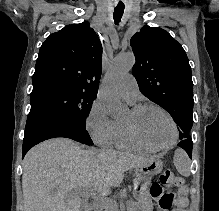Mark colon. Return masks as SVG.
I'll use <instances>...</instances> for the list:
<instances>
[{"label": "colon", "mask_w": 219, "mask_h": 211, "mask_svg": "<svg viewBox=\"0 0 219 211\" xmlns=\"http://www.w3.org/2000/svg\"><path fill=\"white\" fill-rule=\"evenodd\" d=\"M159 183L167 188H175L176 196H172L175 211L183 209L188 201V192L184 184V180L179 175L175 174L172 170L166 169L159 176Z\"/></svg>", "instance_id": "obj_1"}]
</instances>
